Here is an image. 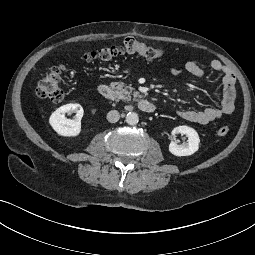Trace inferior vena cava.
<instances>
[{
    "label": "inferior vena cava",
    "instance_id": "1",
    "mask_svg": "<svg viewBox=\"0 0 255 255\" xmlns=\"http://www.w3.org/2000/svg\"><path fill=\"white\" fill-rule=\"evenodd\" d=\"M119 118H120L119 112L116 110H111L107 113V120L111 123L117 122Z\"/></svg>",
    "mask_w": 255,
    "mask_h": 255
}]
</instances>
